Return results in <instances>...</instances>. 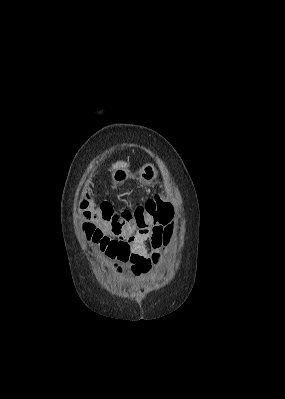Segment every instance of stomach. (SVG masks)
<instances>
[{
    "label": "stomach",
    "instance_id": "0dacf381",
    "mask_svg": "<svg viewBox=\"0 0 285 399\" xmlns=\"http://www.w3.org/2000/svg\"><path fill=\"white\" fill-rule=\"evenodd\" d=\"M131 176L130 172L126 168L115 169L112 173V181L115 184L124 183ZM158 177V172L155 166L151 163L143 165L139 171V180L144 184H151Z\"/></svg>",
    "mask_w": 285,
    "mask_h": 399
}]
</instances>
